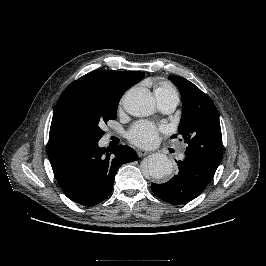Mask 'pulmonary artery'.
<instances>
[{
    "instance_id": "pulmonary-artery-1",
    "label": "pulmonary artery",
    "mask_w": 266,
    "mask_h": 266,
    "mask_svg": "<svg viewBox=\"0 0 266 266\" xmlns=\"http://www.w3.org/2000/svg\"><path fill=\"white\" fill-rule=\"evenodd\" d=\"M178 104V99L175 97H169L162 100H159V108L164 113H171L175 110L176 106ZM183 150L181 149L180 157H183Z\"/></svg>"
}]
</instances>
